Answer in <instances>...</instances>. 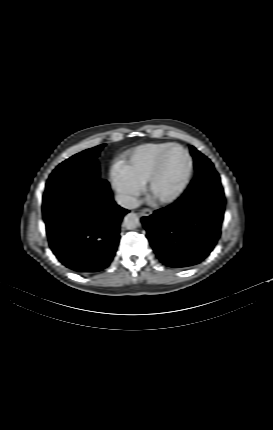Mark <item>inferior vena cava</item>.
<instances>
[{
	"label": "inferior vena cava",
	"mask_w": 273,
	"mask_h": 430,
	"mask_svg": "<svg viewBox=\"0 0 273 430\" xmlns=\"http://www.w3.org/2000/svg\"><path fill=\"white\" fill-rule=\"evenodd\" d=\"M115 200L126 209H135L139 206L138 200L128 195H116Z\"/></svg>",
	"instance_id": "1"
}]
</instances>
